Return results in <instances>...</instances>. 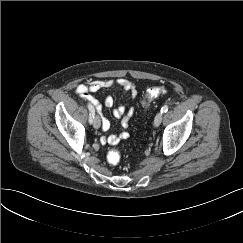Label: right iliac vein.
I'll list each match as a JSON object with an SVG mask.
<instances>
[{
  "instance_id": "63e3f726",
  "label": "right iliac vein",
  "mask_w": 243,
  "mask_h": 243,
  "mask_svg": "<svg viewBox=\"0 0 243 243\" xmlns=\"http://www.w3.org/2000/svg\"><path fill=\"white\" fill-rule=\"evenodd\" d=\"M93 127L95 128V129H99L100 128V126H101V121H100V118H99V116L98 115H95L94 114V118H93Z\"/></svg>"
}]
</instances>
